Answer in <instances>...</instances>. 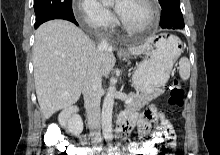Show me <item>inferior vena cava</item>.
Wrapping results in <instances>:
<instances>
[{
    "mask_svg": "<svg viewBox=\"0 0 220 155\" xmlns=\"http://www.w3.org/2000/svg\"><path fill=\"white\" fill-rule=\"evenodd\" d=\"M100 46L105 49H110L106 40H102ZM82 92L90 134L95 139H99L101 130L100 101L102 96V75L99 60H94L89 68L83 83Z\"/></svg>",
    "mask_w": 220,
    "mask_h": 155,
    "instance_id": "602c4592",
    "label": "inferior vena cava"
}]
</instances>
